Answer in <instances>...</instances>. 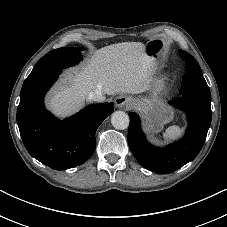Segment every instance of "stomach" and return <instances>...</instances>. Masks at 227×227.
<instances>
[{
  "label": "stomach",
  "mask_w": 227,
  "mask_h": 227,
  "mask_svg": "<svg viewBox=\"0 0 227 227\" xmlns=\"http://www.w3.org/2000/svg\"><path fill=\"white\" fill-rule=\"evenodd\" d=\"M164 51L165 46L160 41H151L145 45L146 54L154 59H160ZM134 104L144 114L147 128L150 130H160L173 118V112L163 102L147 99L135 101Z\"/></svg>",
  "instance_id": "0dacf381"
}]
</instances>
